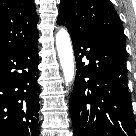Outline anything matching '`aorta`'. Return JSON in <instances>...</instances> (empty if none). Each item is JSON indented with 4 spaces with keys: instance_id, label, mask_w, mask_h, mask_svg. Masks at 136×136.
<instances>
[{
    "instance_id": "1",
    "label": "aorta",
    "mask_w": 136,
    "mask_h": 136,
    "mask_svg": "<svg viewBox=\"0 0 136 136\" xmlns=\"http://www.w3.org/2000/svg\"><path fill=\"white\" fill-rule=\"evenodd\" d=\"M55 37L60 65L63 70L66 85H69L73 81L75 74L74 55L71 39L68 31L65 28H61L56 33Z\"/></svg>"
}]
</instances>
